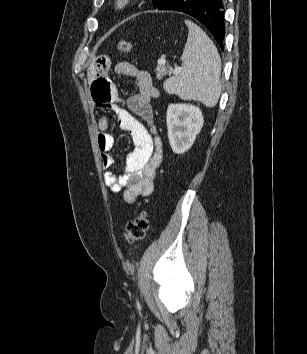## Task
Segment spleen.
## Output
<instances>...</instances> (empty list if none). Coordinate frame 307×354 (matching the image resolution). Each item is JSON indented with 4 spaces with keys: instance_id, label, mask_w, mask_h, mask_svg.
<instances>
[{
    "instance_id": "spleen-1",
    "label": "spleen",
    "mask_w": 307,
    "mask_h": 354,
    "mask_svg": "<svg viewBox=\"0 0 307 354\" xmlns=\"http://www.w3.org/2000/svg\"><path fill=\"white\" fill-rule=\"evenodd\" d=\"M189 33L179 75L169 78L164 89L184 100H196L214 107L221 93V58L213 41L196 24L185 21Z\"/></svg>"
}]
</instances>
